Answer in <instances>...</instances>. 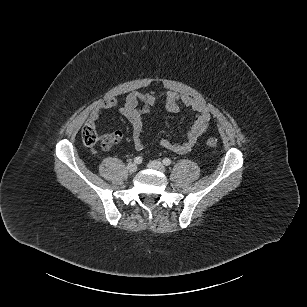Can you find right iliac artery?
<instances>
[{
  "label": "right iliac artery",
  "instance_id": "82829eb1",
  "mask_svg": "<svg viewBox=\"0 0 307 307\" xmlns=\"http://www.w3.org/2000/svg\"><path fill=\"white\" fill-rule=\"evenodd\" d=\"M142 157H140V156H138V157H135L134 158V163H136V164H140V163H142Z\"/></svg>",
  "mask_w": 307,
  "mask_h": 307
}]
</instances>
